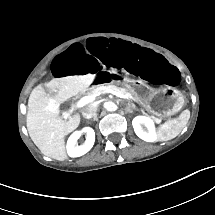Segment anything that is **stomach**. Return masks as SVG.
Returning a JSON list of instances; mask_svg holds the SVG:
<instances>
[{"label": "stomach", "instance_id": "0dacf381", "mask_svg": "<svg viewBox=\"0 0 215 215\" xmlns=\"http://www.w3.org/2000/svg\"><path fill=\"white\" fill-rule=\"evenodd\" d=\"M125 89L131 93L137 102L157 115L175 114L184 104L183 95L174 89L168 93L166 88H151L141 82H129L125 85Z\"/></svg>", "mask_w": 215, "mask_h": 215}]
</instances>
